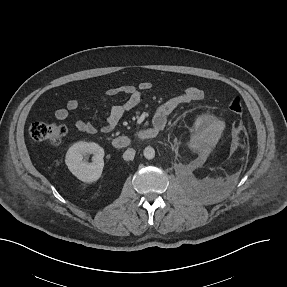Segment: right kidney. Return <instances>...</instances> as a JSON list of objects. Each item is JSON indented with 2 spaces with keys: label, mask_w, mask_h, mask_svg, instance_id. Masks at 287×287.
Returning <instances> with one entry per match:
<instances>
[{
  "label": "right kidney",
  "mask_w": 287,
  "mask_h": 287,
  "mask_svg": "<svg viewBox=\"0 0 287 287\" xmlns=\"http://www.w3.org/2000/svg\"><path fill=\"white\" fill-rule=\"evenodd\" d=\"M93 154L91 163L84 162L83 156ZM104 149L94 142H77L67 151L65 163L70 172L79 180L92 183L97 181L104 167Z\"/></svg>",
  "instance_id": "right-kidney-1"
}]
</instances>
